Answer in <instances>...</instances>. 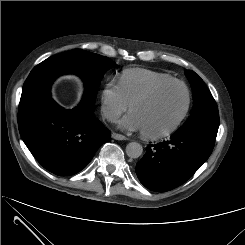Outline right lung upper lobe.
I'll return each mask as SVG.
<instances>
[{"label":"right lung upper lobe","mask_w":245,"mask_h":245,"mask_svg":"<svg viewBox=\"0 0 245 245\" xmlns=\"http://www.w3.org/2000/svg\"><path fill=\"white\" fill-rule=\"evenodd\" d=\"M60 69L52 67L50 58L38 64L29 74L26 82L36 87L38 90H50V86L54 79L63 74Z\"/></svg>","instance_id":"1"}]
</instances>
